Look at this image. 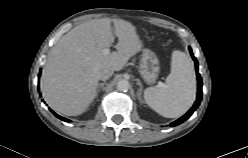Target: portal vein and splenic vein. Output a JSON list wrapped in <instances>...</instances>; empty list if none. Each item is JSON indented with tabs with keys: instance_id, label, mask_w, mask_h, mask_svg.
I'll list each match as a JSON object with an SVG mask.
<instances>
[{
	"instance_id": "18ae733b",
	"label": "portal vein and splenic vein",
	"mask_w": 248,
	"mask_h": 158,
	"mask_svg": "<svg viewBox=\"0 0 248 158\" xmlns=\"http://www.w3.org/2000/svg\"><path fill=\"white\" fill-rule=\"evenodd\" d=\"M109 53H110V49H109V48L103 49V54L108 55ZM159 86L162 87L163 84L160 82V83H159Z\"/></svg>"
}]
</instances>
